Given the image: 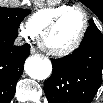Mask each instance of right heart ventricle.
I'll return each instance as SVG.
<instances>
[{
  "mask_svg": "<svg viewBox=\"0 0 103 103\" xmlns=\"http://www.w3.org/2000/svg\"><path fill=\"white\" fill-rule=\"evenodd\" d=\"M70 7L69 5H60L40 9L28 18L25 26L28 27L34 37L38 36L55 16Z\"/></svg>",
  "mask_w": 103,
  "mask_h": 103,
  "instance_id": "right-heart-ventricle-1",
  "label": "right heart ventricle"
}]
</instances>
